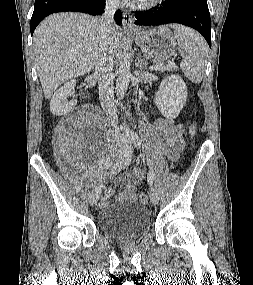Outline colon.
<instances>
[{
    "instance_id": "obj_1",
    "label": "colon",
    "mask_w": 253,
    "mask_h": 285,
    "mask_svg": "<svg viewBox=\"0 0 253 285\" xmlns=\"http://www.w3.org/2000/svg\"><path fill=\"white\" fill-rule=\"evenodd\" d=\"M190 135L193 137L196 134V126L192 124L190 126ZM138 201L142 204H146L148 202V196L146 193L142 192L138 195Z\"/></svg>"
}]
</instances>
